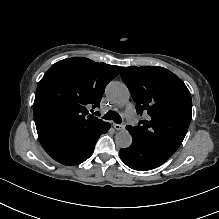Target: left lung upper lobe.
<instances>
[{
	"label": "left lung upper lobe",
	"mask_w": 219,
	"mask_h": 219,
	"mask_svg": "<svg viewBox=\"0 0 219 219\" xmlns=\"http://www.w3.org/2000/svg\"><path fill=\"white\" fill-rule=\"evenodd\" d=\"M121 78L136 103L138 114H148L136 127L126 126L144 144L172 156L183 142L191 116V94L184 82L163 67H122Z\"/></svg>",
	"instance_id": "obj_1"
}]
</instances>
